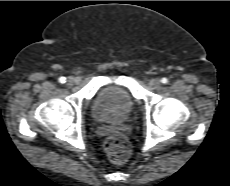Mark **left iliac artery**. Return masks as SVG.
I'll return each instance as SVG.
<instances>
[{
    "label": "left iliac artery",
    "mask_w": 230,
    "mask_h": 186,
    "mask_svg": "<svg viewBox=\"0 0 230 186\" xmlns=\"http://www.w3.org/2000/svg\"><path fill=\"white\" fill-rule=\"evenodd\" d=\"M161 82H162L163 84H166V83L168 82V79L164 77V78L161 79Z\"/></svg>",
    "instance_id": "44dca946"
}]
</instances>
